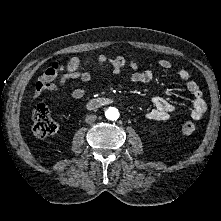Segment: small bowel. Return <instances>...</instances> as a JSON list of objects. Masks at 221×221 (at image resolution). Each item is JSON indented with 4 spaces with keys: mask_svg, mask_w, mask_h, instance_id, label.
<instances>
[{
    "mask_svg": "<svg viewBox=\"0 0 221 221\" xmlns=\"http://www.w3.org/2000/svg\"><path fill=\"white\" fill-rule=\"evenodd\" d=\"M157 65L164 70H170L172 68L171 61L165 58L159 59L157 61ZM130 68L132 70L130 80L134 83H149L154 79V73L151 70L139 71L138 65L134 61L130 62ZM118 72L119 69L113 68V73ZM177 75L186 83V88L192 95V105L189 110V116L193 120L198 121L203 117L206 111V103L203 97V92L199 85L192 80L191 73L186 68H179ZM70 80H80L84 83H89L92 81V75L90 72L81 69L67 73L60 79V85H65ZM41 92L42 91L37 89L36 85L33 97L38 98L41 95ZM86 94L87 89L85 87H77L71 91L70 96L73 100H81L86 96ZM177 113V107L163 97L152 98L149 107L145 109L146 117L155 121H166L175 116Z\"/></svg>",
    "mask_w": 221,
    "mask_h": 221,
    "instance_id": "1",
    "label": "small bowel"
}]
</instances>
